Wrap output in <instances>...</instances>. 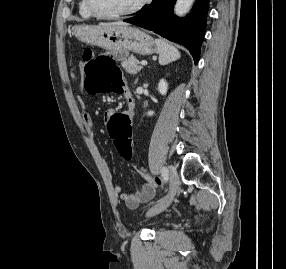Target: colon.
<instances>
[{
	"label": "colon",
	"instance_id": "colon-1",
	"mask_svg": "<svg viewBox=\"0 0 286 269\" xmlns=\"http://www.w3.org/2000/svg\"><path fill=\"white\" fill-rule=\"evenodd\" d=\"M131 49H111L105 55L95 56L90 49L84 51L85 87L94 91L118 92L123 87V73L115 62H127ZM109 137L113 139L121 159H136V143H132L130 126H133L132 113L123 109L115 111L107 122ZM136 168V163H131Z\"/></svg>",
	"mask_w": 286,
	"mask_h": 269
}]
</instances>
